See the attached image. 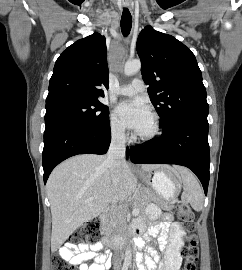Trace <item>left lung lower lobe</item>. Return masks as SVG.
Instances as JSON below:
<instances>
[{"mask_svg":"<svg viewBox=\"0 0 242 270\" xmlns=\"http://www.w3.org/2000/svg\"><path fill=\"white\" fill-rule=\"evenodd\" d=\"M209 124L206 116L180 118L163 128L161 138L152 139L145 147H132L134 163L177 164L191 169L201 181L207 194L210 178Z\"/></svg>","mask_w":242,"mask_h":270,"instance_id":"1","label":"left lung lower lobe"}]
</instances>
